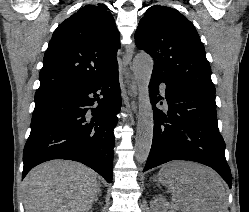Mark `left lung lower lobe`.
<instances>
[{"mask_svg": "<svg viewBox=\"0 0 249 212\" xmlns=\"http://www.w3.org/2000/svg\"><path fill=\"white\" fill-rule=\"evenodd\" d=\"M161 82L166 84L167 108L164 111L155 107L163 99L158 96ZM149 92L154 131L143 172L172 160L195 161L213 168L231 188L225 143L218 130L215 93L168 79L154 71Z\"/></svg>", "mask_w": 249, "mask_h": 212, "instance_id": "1", "label": "left lung lower lobe"}]
</instances>
